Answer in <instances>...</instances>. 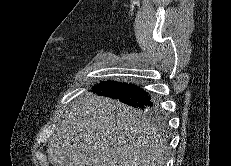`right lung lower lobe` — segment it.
Here are the masks:
<instances>
[{"label": "right lung lower lobe", "mask_w": 231, "mask_h": 166, "mask_svg": "<svg viewBox=\"0 0 231 166\" xmlns=\"http://www.w3.org/2000/svg\"><path fill=\"white\" fill-rule=\"evenodd\" d=\"M92 91L101 96L118 99L140 110L155 111L157 109V104L151 95L134 84L109 80L101 82Z\"/></svg>", "instance_id": "right-lung-lower-lobe-1"}]
</instances>
